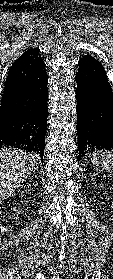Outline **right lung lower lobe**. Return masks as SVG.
Returning <instances> with one entry per match:
<instances>
[{"label":"right lung lower lobe","instance_id":"1","mask_svg":"<svg viewBox=\"0 0 113 279\" xmlns=\"http://www.w3.org/2000/svg\"><path fill=\"white\" fill-rule=\"evenodd\" d=\"M42 66L4 107L0 108V149L36 152L42 161L47 129L48 76Z\"/></svg>","mask_w":113,"mask_h":279}]
</instances>
